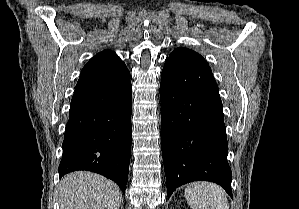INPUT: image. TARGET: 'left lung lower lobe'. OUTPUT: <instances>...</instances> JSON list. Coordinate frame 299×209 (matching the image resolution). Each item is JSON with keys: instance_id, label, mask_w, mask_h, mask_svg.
Wrapping results in <instances>:
<instances>
[{"instance_id": "0a47b994", "label": "left lung lower lobe", "mask_w": 299, "mask_h": 209, "mask_svg": "<svg viewBox=\"0 0 299 209\" xmlns=\"http://www.w3.org/2000/svg\"><path fill=\"white\" fill-rule=\"evenodd\" d=\"M160 98L168 198L180 185L198 180L221 185L233 198L223 105L209 65L167 58Z\"/></svg>"}]
</instances>
